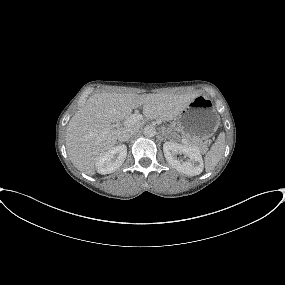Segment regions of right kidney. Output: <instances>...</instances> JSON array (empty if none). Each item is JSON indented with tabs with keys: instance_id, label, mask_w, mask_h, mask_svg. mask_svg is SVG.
<instances>
[{
	"instance_id": "ca27d5eb",
	"label": "right kidney",
	"mask_w": 285,
	"mask_h": 285,
	"mask_svg": "<svg viewBox=\"0 0 285 285\" xmlns=\"http://www.w3.org/2000/svg\"><path fill=\"white\" fill-rule=\"evenodd\" d=\"M127 147L118 145L101 155L96 161V170L99 174H110L116 171L125 161Z\"/></svg>"
}]
</instances>
